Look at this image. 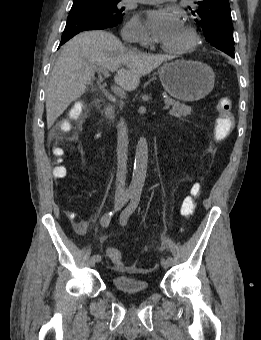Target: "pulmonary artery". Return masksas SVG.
Listing matches in <instances>:
<instances>
[{"mask_svg":"<svg viewBox=\"0 0 261 340\" xmlns=\"http://www.w3.org/2000/svg\"><path fill=\"white\" fill-rule=\"evenodd\" d=\"M140 3H160V2H163V1H166V0H136Z\"/></svg>","mask_w":261,"mask_h":340,"instance_id":"e3ab8cb5","label":"pulmonary artery"}]
</instances>
